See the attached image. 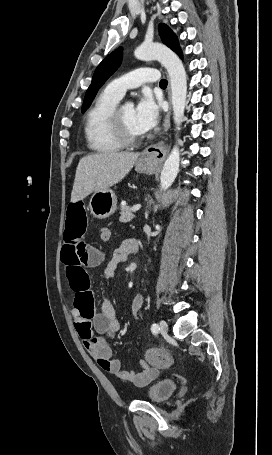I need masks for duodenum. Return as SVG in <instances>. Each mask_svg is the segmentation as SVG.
<instances>
[{
	"instance_id": "1",
	"label": "duodenum",
	"mask_w": 272,
	"mask_h": 455,
	"mask_svg": "<svg viewBox=\"0 0 272 455\" xmlns=\"http://www.w3.org/2000/svg\"><path fill=\"white\" fill-rule=\"evenodd\" d=\"M133 251L135 254H138L140 249H139V245L136 241L133 242Z\"/></svg>"
}]
</instances>
